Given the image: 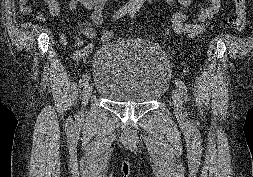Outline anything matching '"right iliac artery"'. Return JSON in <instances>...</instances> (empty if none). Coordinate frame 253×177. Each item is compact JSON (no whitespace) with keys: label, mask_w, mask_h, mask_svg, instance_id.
I'll use <instances>...</instances> for the list:
<instances>
[{"label":"right iliac artery","mask_w":253,"mask_h":177,"mask_svg":"<svg viewBox=\"0 0 253 177\" xmlns=\"http://www.w3.org/2000/svg\"><path fill=\"white\" fill-rule=\"evenodd\" d=\"M133 9L134 6L131 4L124 5L115 13V16H113L114 20H117L120 17H123L125 14L130 13ZM89 80L90 76L88 74L83 75L79 81L80 87L85 86L89 82Z\"/></svg>","instance_id":"obj_1"}]
</instances>
